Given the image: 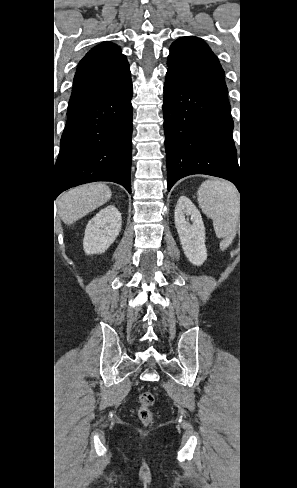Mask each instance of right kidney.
<instances>
[{"instance_id": "obj_1", "label": "right kidney", "mask_w": 297, "mask_h": 488, "mask_svg": "<svg viewBox=\"0 0 297 488\" xmlns=\"http://www.w3.org/2000/svg\"><path fill=\"white\" fill-rule=\"evenodd\" d=\"M121 213L114 205L100 210L87 224L83 240L86 254H102L121 231Z\"/></svg>"}]
</instances>
